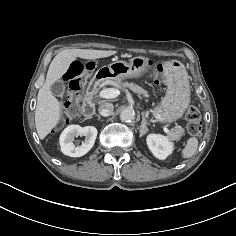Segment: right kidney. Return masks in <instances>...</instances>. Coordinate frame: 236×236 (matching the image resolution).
<instances>
[{"label":"right kidney","instance_id":"right-kidney-1","mask_svg":"<svg viewBox=\"0 0 236 236\" xmlns=\"http://www.w3.org/2000/svg\"><path fill=\"white\" fill-rule=\"evenodd\" d=\"M77 136H85L79 146L74 144V138ZM96 137L97 129L93 126L70 125L60 135L61 151L71 157H81L93 147Z\"/></svg>","mask_w":236,"mask_h":236}]
</instances>
